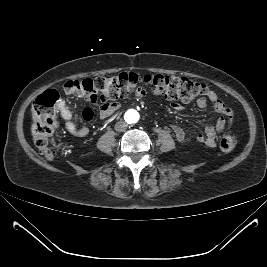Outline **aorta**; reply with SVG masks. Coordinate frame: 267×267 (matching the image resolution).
I'll list each match as a JSON object with an SVG mask.
<instances>
[{"label":"aorta","mask_w":267,"mask_h":267,"mask_svg":"<svg viewBox=\"0 0 267 267\" xmlns=\"http://www.w3.org/2000/svg\"><path fill=\"white\" fill-rule=\"evenodd\" d=\"M125 118L129 123H136L139 120V114L135 110H129L126 112Z\"/></svg>","instance_id":"aorta-1"}]
</instances>
